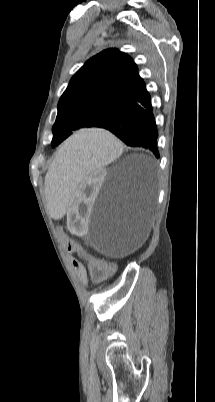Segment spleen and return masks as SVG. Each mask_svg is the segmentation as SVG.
<instances>
[{
    "mask_svg": "<svg viewBox=\"0 0 215 402\" xmlns=\"http://www.w3.org/2000/svg\"><path fill=\"white\" fill-rule=\"evenodd\" d=\"M121 149L110 128H77V133L61 143L46 177L50 196L47 214L51 219L64 215L72 202L69 193H76L85 178L113 161Z\"/></svg>",
    "mask_w": 215,
    "mask_h": 402,
    "instance_id": "3e777b00",
    "label": "spleen"
}]
</instances>
